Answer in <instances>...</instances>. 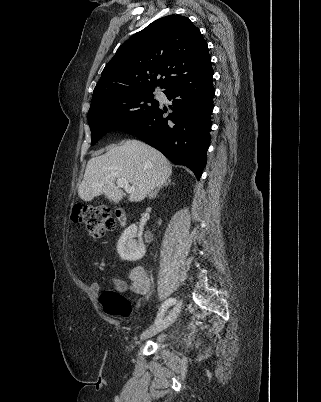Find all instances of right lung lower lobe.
Masks as SVG:
<instances>
[{
	"mask_svg": "<svg viewBox=\"0 0 321 402\" xmlns=\"http://www.w3.org/2000/svg\"><path fill=\"white\" fill-rule=\"evenodd\" d=\"M211 64L186 74L165 87L167 98L173 99L172 113L163 117L158 107L148 116L119 130L136 135L158 149L169 160L190 168L199 180L206 165L210 142L213 96Z\"/></svg>",
	"mask_w": 321,
	"mask_h": 402,
	"instance_id": "98d812e1",
	"label": "right lung lower lobe"
}]
</instances>
